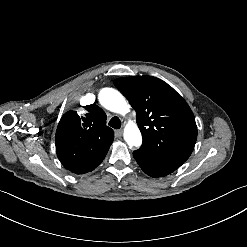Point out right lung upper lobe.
<instances>
[{"label":"right lung upper lobe","instance_id":"right-lung-upper-lobe-1","mask_svg":"<svg viewBox=\"0 0 247 247\" xmlns=\"http://www.w3.org/2000/svg\"><path fill=\"white\" fill-rule=\"evenodd\" d=\"M86 114L65 113L56 131L57 157L71 171L98 166L114 139V131L106 125L107 116L95 104L84 106Z\"/></svg>","mask_w":247,"mask_h":247}]
</instances>
